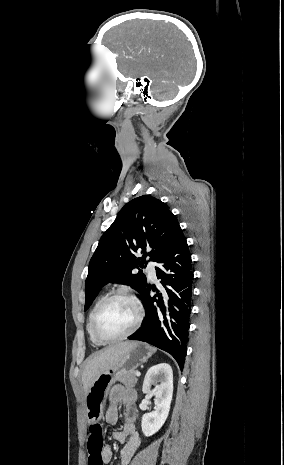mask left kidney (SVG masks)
I'll return each instance as SVG.
<instances>
[{
  "instance_id": "left-kidney-1",
  "label": "left kidney",
  "mask_w": 284,
  "mask_h": 465,
  "mask_svg": "<svg viewBox=\"0 0 284 465\" xmlns=\"http://www.w3.org/2000/svg\"><path fill=\"white\" fill-rule=\"evenodd\" d=\"M151 385H156L155 391H151ZM142 391L146 395H155V411L145 413L141 421L145 437H151L161 429L169 415L173 395V371L170 365L160 363L150 367L145 375Z\"/></svg>"
}]
</instances>
